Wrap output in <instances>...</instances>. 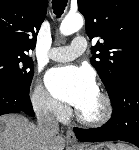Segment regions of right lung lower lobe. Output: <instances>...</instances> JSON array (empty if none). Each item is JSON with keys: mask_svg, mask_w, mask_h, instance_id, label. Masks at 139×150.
Returning a JSON list of instances; mask_svg holds the SVG:
<instances>
[{"mask_svg": "<svg viewBox=\"0 0 139 150\" xmlns=\"http://www.w3.org/2000/svg\"><path fill=\"white\" fill-rule=\"evenodd\" d=\"M8 113H26L35 116L29 90L0 84V115Z\"/></svg>", "mask_w": 139, "mask_h": 150, "instance_id": "98d812e1", "label": "right lung lower lobe"}]
</instances>
